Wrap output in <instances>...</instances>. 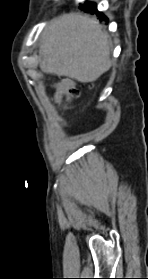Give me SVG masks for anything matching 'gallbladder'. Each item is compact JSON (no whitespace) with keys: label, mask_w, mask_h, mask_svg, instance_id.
<instances>
[{"label":"gallbladder","mask_w":148,"mask_h":279,"mask_svg":"<svg viewBox=\"0 0 148 279\" xmlns=\"http://www.w3.org/2000/svg\"><path fill=\"white\" fill-rule=\"evenodd\" d=\"M40 59H41V62H43V57H42V56H41V58H40Z\"/></svg>","instance_id":"obj_1"}]
</instances>
